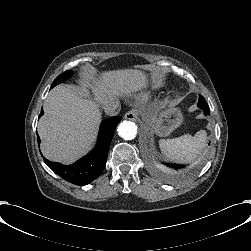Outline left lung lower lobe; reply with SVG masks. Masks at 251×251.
<instances>
[{
  "mask_svg": "<svg viewBox=\"0 0 251 251\" xmlns=\"http://www.w3.org/2000/svg\"><path fill=\"white\" fill-rule=\"evenodd\" d=\"M201 108V107H200ZM204 110L205 115L210 114L209 107L208 108H202ZM168 167L173 168V169H181L184 167V165H177V164H166Z\"/></svg>",
  "mask_w": 251,
  "mask_h": 251,
  "instance_id": "obj_1",
  "label": "left lung lower lobe"
}]
</instances>
